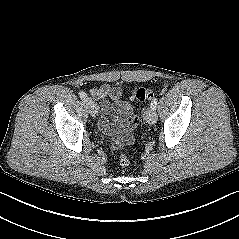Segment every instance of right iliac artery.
<instances>
[{"label":"right iliac artery","instance_id":"right-iliac-artery-1","mask_svg":"<svg viewBox=\"0 0 239 239\" xmlns=\"http://www.w3.org/2000/svg\"><path fill=\"white\" fill-rule=\"evenodd\" d=\"M79 96H80V98L83 99V100L88 99L87 94H86L85 92H83V91L79 92Z\"/></svg>","mask_w":239,"mask_h":239}]
</instances>
